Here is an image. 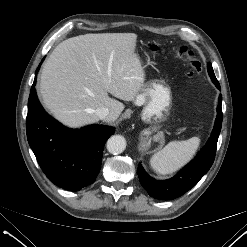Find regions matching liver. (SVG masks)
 Here are the masks:
<instances>
[{"instance_id":"obj_1","label":"liver","mask_w":247,"mask_h":247,"mask_svg":"<svg viewBox=\"0 0 247 247\" xmlns=\"http://www.w3.org/2000/svg\"><path fill=\"white\" fill-rule=\"evenodd\" d=\"M135 33L85 34L61 42L44 64L42 102L62 124L79 128L98 122L95 110L107 107L108 122L124 110L108 94L133 101L144 86L145 71Z\"/></svg>"}]
</instances>
